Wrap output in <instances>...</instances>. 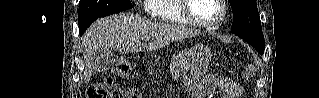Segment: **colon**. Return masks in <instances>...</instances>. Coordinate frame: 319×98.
I'll return each mask as SVG.
<instances>
[{"instance_id":"colon-1","label":"colon","mask_w":319,"mask_h":98,"mask_svg":"<svg viewBox=\"0 0 319 98\" xmlns=\"http://www.w3.org/2000/svg\"><path fill=\"white\" fill-rule=\"evenodd\" d=\"M131 72V66L126 61H120L115 66V76L117 78H126ZM115 78L110 76L106 78L104 82H96L89 86L86 97L87 98H136L135 93L123 94L119 88H114L111 90V87L114 84Z\"/></svg>"}]
</instances>
